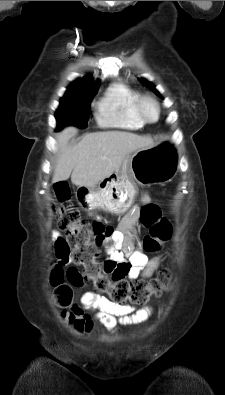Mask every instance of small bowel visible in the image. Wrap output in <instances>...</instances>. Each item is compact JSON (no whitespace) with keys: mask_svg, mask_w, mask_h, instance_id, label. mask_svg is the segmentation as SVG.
Masks as SVG:
<instances>
[{"mask_svg":"<svg viewBox=\"0 0 225 395\" xmlns=\"http://www.w3.org/2000/svg\"><path fill=\"white\" fill-rule=\"evenodd\" d=\"M138 216L137 210L130 211L120 230L116 232L98 222L93 224L96 244L104 245L108 254V259L104 262V271L114 278L130 280L140 276L148 278L160 265L161 256L147 257L136 250L124 236L129 227L138 220ZM52 244L57 266L66 270L67 281H71L73 292L85 293L81 298V306L74 304L62 314L77 332L81 334L91 332L95 321L108 331L115 332L119 325L138 324L149 318L151 315L149 307L136 310L129 305H118L106 297L95 294L94 288H87L86 280L82 279L81 267H74L73 263H70L72 247L67 237H60V234L54 231ZM86 310L96 311L94 317L88 315Z\"/></svg>","mask_w":225,"mask_h":395,"instance_id":"1","label":"small bowel"}]
</instances>
